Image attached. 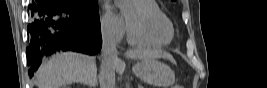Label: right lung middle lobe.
<instances>
[{
  "mask_svg": "<svg viewBox=\"0 0 267 88\" xmlns=\"http://www.w3.org/2000/svg\"><path fill=\"white\" fill-rule=\"evenodd\" d=\"M68 3L85 13H96L98 12V2L97 0H67Z\"/></svg>",
  "mask_w": 267,
  "mask_h": 88,
  "instance_id": "1",
  "label": "right lung middle lobe"
}]
</instances>
